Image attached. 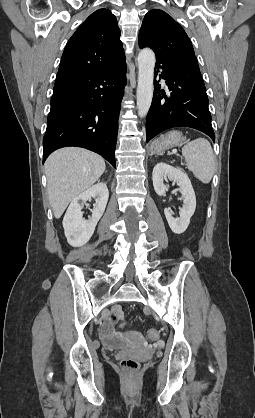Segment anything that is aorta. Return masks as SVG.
Here are the masks:
<instances>
[{"label": "aorta", "instance_id": "762f6f07", "mask_svg": "<svg viewBox=\"0 0 255 418\" xmlns=\"http://www.w3.org/2000/svg\"><path fill=\"white\" fill-rule=\"evenodd\" d=\"M155 62V54L151 49L145 48L139 52L137 108L138 115L142 118L147 115L152 103Z\"/></svg>", "mask_w": 255, "mask_h": 418}]
</instances>
